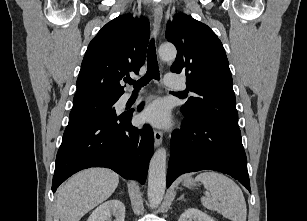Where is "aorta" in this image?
Instances as JSON below:
<instances>
[{"instance_id":"aorta-1","label":"aorta","mask_w":307,"mask_h":221,"mask_svg":"<svg viewBox=\"0 0 307 221\" xmlns=\"http://www.w3.org/2000/svg\"><path fill=\"white\" fill-rule=\"evenodd\" d=\"M177 50L173 45H163L159 48V56L165 61L176 58ZM166 188V149H158L149 164L148 200L153 206L161 203Z\"/></svg>"}]
</instances>
